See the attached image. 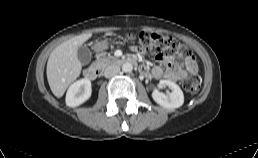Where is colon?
<instances>
[{"label": "colon", "instance_id": "5ec220e1", "mask_svg": "<svg viewBox=\"0 0 258 158\" xmlns=\"http://www.w3.org/2000/svg\"><path fill=\"white\" fill-rule=\"evenodd\" d=\"M128 38L142 51L175 56L185 61L192 57V52L188 47L170 36L141 32L139 34H130ZM183 87L189 93H197L201 87L200 77L196 74L186 77L183 81Z\"/></svg>", "mask_w": 258, "mask_h": 158}]
</instances>
